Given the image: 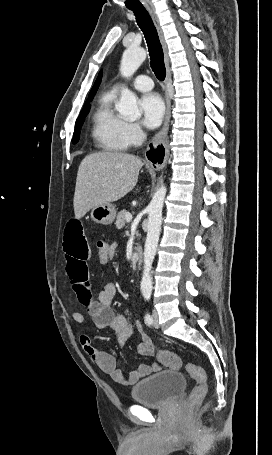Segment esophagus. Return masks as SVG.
Masks as SVG:
<instances>
[{
    "mask_svg": "<svg viewBox=\"0 0 272 455\" xmlns=\"http://www.w3.org/2000/svg\"><path fill=\"white\" fill-rule=\"evenodd\" d=\"M146 10L150 14L154 25L157 29L163 50H164V55H165V65H166V70H167V76L165 83L168 85V82L171 79V69H170V62H169V57H168V51H167V45L164 39L163 31L161 29V26L159 24L158 17L155 13V10L151 4H146L145 5ZM170 117H171V99L169 96L168 91L166 90V115L164 119V124L161 128V130L153 137L151 144L148 147V153L150 152V156L148 157V161L151 165V167L155 170H160L165 167L167 160H168V155H169V149H168V130H169V122H170ZM163 145H160V144Z\"/></svg>",
    "mask_w": 272,
    "mask_h": 455,
    "instance_id": "obj_1",
    "label": "esophagus"
}]
</instances>
